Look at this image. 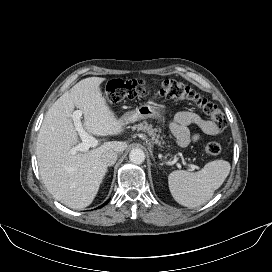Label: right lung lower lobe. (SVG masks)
Wrapping results in <instances>:
<instances>
[{"label": "right lung lower lobe", "instance_id": "obj_1", "mask_svg": "<svg viewBox=\"0 0 272 272\" xmlns=\"http://www.w3.org/2000/svg\"><path fill=\"white\" fill-rule=\"evenodd\" d=\"M107 202H108V201H107ZM107 202H106L105 204H107ZM105 204H104V205H105ZM104 205H102V206H104ZM102 206H101V207H102Z\"/></svg>", "mask_w": 272, "mask_h": 272}]
</instances>
